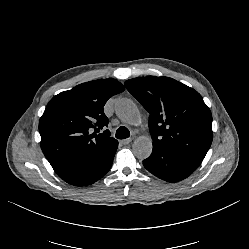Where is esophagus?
Wrapping results in <instances>:
<instances>
[{"instance_id":"obj_1","label":"esophagus","mask_w":249,"mask_h":249,"mask_svg":"<svg viewBox=\"0 0 249 249\" xmlns=\"http://www.w3.org/2000/svg\"><path fill=\"white\" fill-rule=\"evenodd\" d=\"M131 141H132V138H128V139L121 140V143H122L123 145H127V144H129Z\"/></svg>"}]
</instances>
